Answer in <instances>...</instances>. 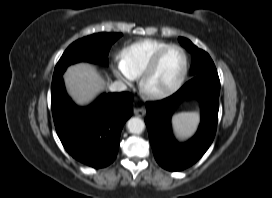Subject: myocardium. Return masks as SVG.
<instances>
[{
	"label": "myocardium",
	"mask_w": 272,
	"mask_h": 198,
	"mask_svg": "<svg viewBox=\"0 0 272 198\" xmlns=\"http://www.w3.org/2000/svg\"><path fill=\"white\" fill-rule=\"evenodd\" d=\"M171 49H178L182 52L183 57H184V67L183 71L178 78V80L168 89L161 90V91H151L147 88V82L148 79L151 77V75L155 72L157 69L162 57ZM189 71V57L186 52V50L181 47L180 45L176 44H169L168 46L162 48L159 50L154 57L151 59L149 64L146 66L142 74L140 75V81H139V86L141 89V92L143 93L144 96L150 99H163L166 97H169L176 93L183 85V83L186 80V77L188 75Z\"/></svg>",
	"instance_id": "1"
}]
</instances>
